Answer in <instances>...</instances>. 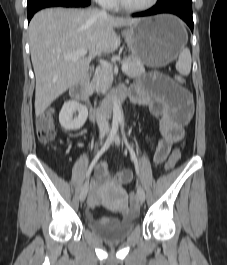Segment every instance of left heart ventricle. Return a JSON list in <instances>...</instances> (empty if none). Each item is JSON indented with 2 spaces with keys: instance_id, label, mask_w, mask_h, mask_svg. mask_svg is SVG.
I'll list each match as a JSON object with an SVG mask.
<instances>
[{
  "instance_id": "1",
  "label": "left heart ventricle",
  "mask_w": 227,
  "mask_h": 265,
  "mask_svg": "<svg viewBox=\"0 0 227 265\" xmlns=\"http://www.w3.org/2000/svg\"><path fill=\"white\" fill-rule=\"evenodd\" d=\"M123 1L130 6H141L148 3L150 0H123Z\"/></svg>"
}]
</instances>
